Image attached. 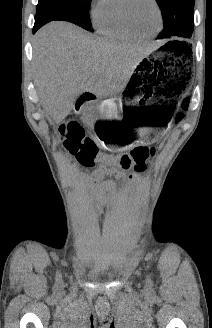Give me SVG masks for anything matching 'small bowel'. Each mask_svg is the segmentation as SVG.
I'll list each match as a JSON object with an SVG mask.
<instances>
[{
    "label": "small bowel",
    "instance_id": "small-bowel-1",
    "mask_svg": "<svg viewBox=\"0 0 212 328\" xmlns=\"http://www.w3.org/2000/svg\"><path fill=\"white\" fill-rule=\"evenodd\" d=\"M127 170H112L111 173H98L96 170L90 177L81 176V184L85 192L89 195L95 196L96 200V212L101 218L103 214V208L107 200H116V188L114 182L110 180H104V176L113 175L119 179L124 178V172ZM136 175H129V182L136 180Z\"/></svg>",
    "mask_w": 212,
    "mask_h": 328
}]
</instances>
